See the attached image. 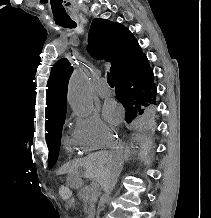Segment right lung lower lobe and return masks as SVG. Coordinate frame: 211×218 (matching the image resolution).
<instances>
[{"instance_id": "obj_1", "label": "right lung lower lobe", "mask_w": 211, "mask_h": 218, "mask_svg": "<svg viewBox=\"0 0 211 218\" xmlns=\"http://www.w3.org/2000/svg\"><path fill=\"white\" fill-rule=\"evenodd\" d=\"M116 98L131 97L147 103H156L157 89L153 71L142 52L134 60L119 66L114 72Z\"/></svg>"}]
</instances>
